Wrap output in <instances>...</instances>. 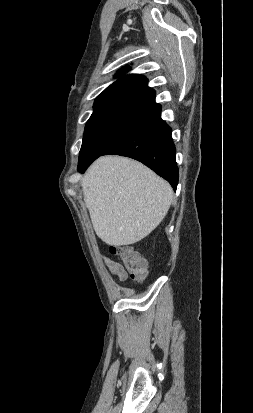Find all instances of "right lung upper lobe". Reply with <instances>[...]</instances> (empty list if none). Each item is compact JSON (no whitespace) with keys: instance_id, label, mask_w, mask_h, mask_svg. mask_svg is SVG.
I'll list each match as a JSON object with an SVG mask.
<instances>
[{"instance_id":"1","label":"right lung upper lobe","mask_w":253,"mask_h":413,"mask_svg":"<svg viewBox=\"0 0 253 413\" xmlns=\"http://www.w3.org/2000/svg\"><path fill=\"white\" fill-rule=\"evenodd\" d=\"M128 66L120 69L116 76L128 71ZM161 111L155 102V91L148 87L147 78L130 74L119 78L107 87L96 99L91 117L105 114H130L152 117Z\"/></svg>"}]
</instances>
